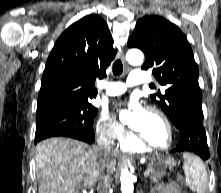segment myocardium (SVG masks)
Segmentation results:
<instances>
[{
    "label": "myocardium",
    "mask_w": 221,
    "mask_h": 193,
    "mask_svg": "<svg viewBox=\"0 0 221 193\" xmlns=\"http://www.w3.org/2000/svg\"><path fill=\"white\" fill-rule=\"evenodd\" d=\"M146 110L157 114L163 120V122L165 123V125L167 127V130H168V135H169L168 143L165 146L154 145V144L150 143L143 134L139 133L134 128H131L132 132L137 137V139L136 138L135 139L140 144H142V145H144V146H146L150 149H154V150H158V151L169 150L172 147L173 143H174V130H173V126H172L169 118L167 117V115L162 110H160L159 108H157L155 106H148L146 108Z\"/></svg>",
    "instance_id": "1"
}]
</instances>
